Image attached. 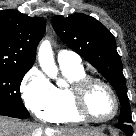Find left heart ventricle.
Masks as SVG:
<instances>
[{
    "label": "left heart ventricle",
    "mask_w": 136,
    "mask_h": 136,
    "mask_svg": "<svg viewBox=\"0 0 136 136\" xmlns=\"http://www.w3.org/2000/svg\"><path fill=\"white\" fill-rule=\"evenodd\" d=\"M87 107L91 115L99 119L109 117L114 109L109 92L101 85H95L89 91Z\"/></svg>",
    "instance_id": "obj_1"
}]
</instances>
